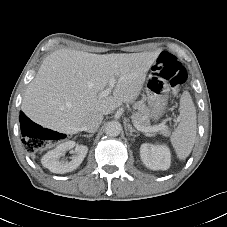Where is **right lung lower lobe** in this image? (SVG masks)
Returning <instances> with one entry per match:
<instances>
[{
  "label": "right lung lower lobe",
  "instance_id": "98d812e1",
  "mask_svg": "<svg viewBox=\"0 0 227 227\" xmlns=\"http://www.w3.org/2000/svg\"><path fill=\"white\" fill-rule=\"evenodd\" d=\"M19 119H20V124H21V130H24L27 127V125L33 123L29 118H27L25 116V114L23 112L20 113Z\"/></svg>",
  "mask_w": 227,
  "mask_h": 227
}]
</instances>
